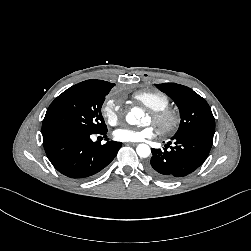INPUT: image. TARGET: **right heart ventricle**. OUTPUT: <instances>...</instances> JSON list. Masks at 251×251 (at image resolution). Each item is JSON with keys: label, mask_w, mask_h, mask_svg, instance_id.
<instances>
[{"label": "right heart ventricle", "mask_w": 251, "mask_h": 251, "mask_svg": "<svg viewBox=\"0 0 251 251\" xmlns=\"http://www.w3.org/2000/svg\"><path fill=\"white\" fill-rule=\"evenodd\" d=\"M133 98L152 111L168 108L169 98L160 91H138Z\"/></svg>", "instance_id": "obj_1"}]
</instances>
